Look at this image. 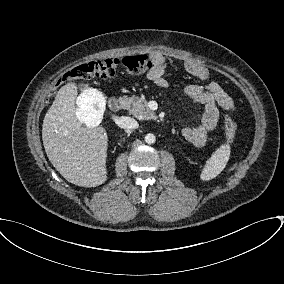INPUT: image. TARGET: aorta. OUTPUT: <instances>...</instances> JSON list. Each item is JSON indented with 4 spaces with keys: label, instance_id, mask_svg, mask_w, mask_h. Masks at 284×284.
Here are the masks:
<instances>
[{
    "label": "aorta",
    "instance_id": "762f6f07",
    "mask_svg": "<svg viewBox=\"0 0 284 284\" xmlns=\"http://www.w3.org/2000/svg\"><path fill=\"white\" fill-rule=\"evenodd\" d=\"M155 141H156V137H155L154 134H152V133L146 134V136H145V142H146L147 144H153V143H155Z\"/></svg>",
    "mask_w": 284,
    "mask_h": 284
}]
</instances>
